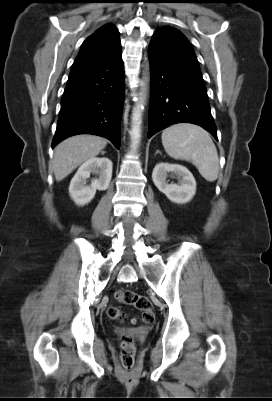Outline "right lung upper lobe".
Segmentation results:
<instances>
[{
	"mask_svg": "<svg viewBox=\"0 0 272 401\" xmlns=\"http://www.w3.org/2000/svg\"><path fill=\"white\" fill-rule=\"evenodd\" d=\"M120 47L117 28L112 24L102 26L83 42L81 50L70 71V75L105 59Z\"/></svg>",
	"mask_w": 272,
	"mask_h": 401,
	"instance_id": "cb5924a9",
	"label": "right lung upper lobe"
}]
</instances>
